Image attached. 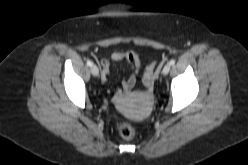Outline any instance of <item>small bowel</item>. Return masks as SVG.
I'll return each instance as SVG.
<instances>
[{"label": "small bowel", "instance_id": "small-bowel-1", "mask_svg": "<svg viewBox=\"0 0 248 165\" xmlns=\"http://www.w3.org/2000/svg\"><path fill=\"white\" fill-rule=\"evenodd\" d=\"M127 61L131 64V73L130 75L122 82L120 88L116 89L114 92V100H120L124 95L130 93L137 83V77L142 68L141 60L136 52L133 50H127L124 52L116 51L111 54L109 59H101V78L104 83L108 82L110 75V61L119 62Z\"/></svg>", "mask_w": 248, "mask_h": 165}]
</instances>
